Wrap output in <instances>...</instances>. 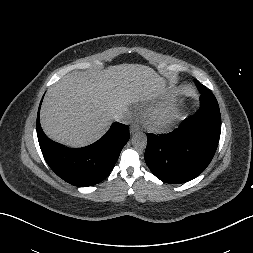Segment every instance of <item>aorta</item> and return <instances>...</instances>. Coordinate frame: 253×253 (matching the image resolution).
I'll list each match as a JSON object with an SVG mask.
<instances>
[{"label": "aorta", "mask_w": 253, "mask_h": 253, "mask_svg": "<svg viewBox=\"0 0 253 253\" xmlns=\"http://www.w3.org/2000/svg\"><path fill=\"white\" fill-rule=\"evenodd\" d=\"M132 145L138 151H143L147 146V136L144 133H135L132 137Z\"/></svg>", "instance_id": "762f6f07"}]
</instances>
